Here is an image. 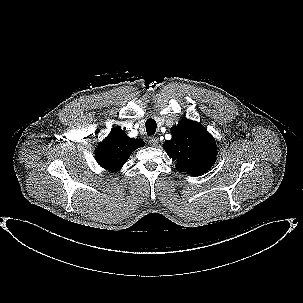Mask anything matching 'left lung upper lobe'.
Returning a JSON list of instances; mask_svg holds the SVG:
<instances>
[{"label": "left lung upper lobe", "instance_id": "obj_1", "mask_svg": "<svg viewBox=\"0 0 303 303\" xmlns=\"http://www.w3.org/2000/svg\"><path fill=\"white\" fill-rule=\"evenodd\" d=\"M172 139L164 149L176 161L178 171L192 176L207 172L214 164L217 146L213 136L199 123L182 119L171 129Z\"/></svg>", "mask_w": 303, "mask_h": 303}]
</instances>
